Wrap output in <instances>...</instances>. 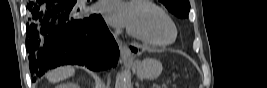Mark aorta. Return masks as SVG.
Segmentation results:
<instances>
[{
    "label": "aorta",
    "instance_id": "762f6f07",
    "mask_svg": "<svg viewBox=\"0 0 267 88\" xmlns=\"http://www.w3.org/2000/svg\"><path fill=\"white\" fill-rule=\"evenodd\" d=\"M115 88H128L127 80L122 72L117 73Z\"/></svg>",
    "mask_w": 267,
    "mask_h": 88
}]
</instances>
